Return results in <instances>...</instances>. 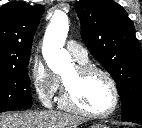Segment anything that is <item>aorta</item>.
I'll return each mask as SVG.
<instances>
[{
  "instance_id": "aorta-1",
  "label": "aorta",
  "mask_w": 142,
  "mask_h": 128,
  "mask_svg": "<svg viewBox=\"0 0 142 128\" xmlns=\"http://www.w3.org/2000/svg\"><path fill=\"white\" fill-rule=\"evenodd\" d=\"M69 30V20L65 13L57 12L48 25L42 47V53L49 68L61 73L71 66V55L63 49Z\"/></svg>"
}]
</instances>
